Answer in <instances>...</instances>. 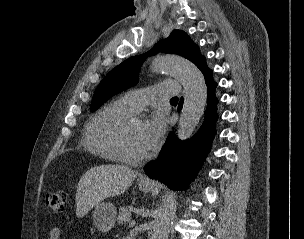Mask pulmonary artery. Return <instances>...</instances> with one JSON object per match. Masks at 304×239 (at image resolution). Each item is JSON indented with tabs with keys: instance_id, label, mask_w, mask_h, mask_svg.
I'll return each instance as SVG.
<instances>
[{
	"instance_id": "obj_1",
	"label": "pulmonary artery",
	"mask_w": 304,
	"mask_h": 239,
	"mask_svg": "<svg viewBox=\"0 0 304 239\" xmlns=\"http://www.w3.org/2000/svg\"><path fill=\"white\" fill-rule=\"evenodd\" d=\"M179 89L178 83L163 81L151 88L129 91L121 97V100L134 112H138L156 97L176 96L179 93Z\"/></svg>"
}]
</instances>
